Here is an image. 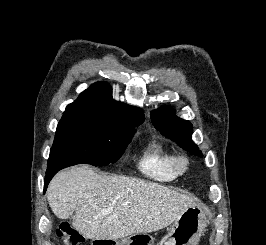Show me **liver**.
<instances>
[{"label":"liver","mask_w":266,"mask_h":245,"mask_svg":"<svg viewBox=\"0 0 266 245\" xmlns=\"http://www.w3.org/2000/svg\"><path fill=\"white\" fill-rule=\"evenodd\" d=\"M58 219H70L86 239L118 241L134 233H153L169 227L195 199L168 187L120 175H98L89 165L60 171L47 189ZM113 209V213H101Z\"/></svg>","instance_id":"1"}]
</instances>
